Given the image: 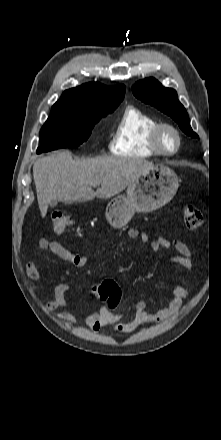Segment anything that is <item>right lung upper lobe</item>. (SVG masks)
<instances>
[{
    "label": "right lung upper lobe",
    "mask_w": 221,
    "mask_h": 440,
    "mask_svg": "<svg viewBox=\"0 0 221 440\" xmlns=\"http://www.w3.org/2000/svg\"><path fill=\"white\" fill-rule=\"evenodd\" d=\"M125 95V86L107 87L91 82L66 90L53 106L69 108H99L118 106Z\"/></svg>",
    "instance_id": "1"
}]
</instances>
